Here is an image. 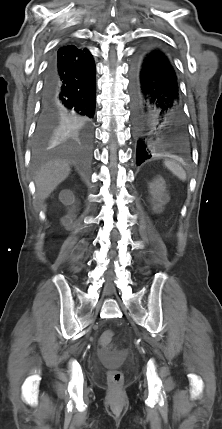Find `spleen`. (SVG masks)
<instances>
[{
    "label": "spleen",
    "mask_w": 222,
    "mask_h": 429,
    "mask_svg": "<svg viewBox=\"0 0 222 429\" xmlns=\"http://www.w3.org/2000/svg\"><path fill=\"white\" fill-rule=\"evenodd\" d=\"M164 165L175 175L177 176L180 180L185 181L187 178L186 172L183 169V167L174 162V161H170V160H165L164 161Z\"/></svg>",
    "instance_id": "obj_1"
}]
</instances>
